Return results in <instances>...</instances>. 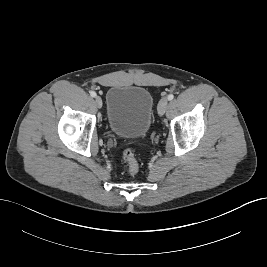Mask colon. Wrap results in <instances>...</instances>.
I'll use <instances>...</instances> for the list:
<instances>
[{
	"label": "colon",
	"instance_id": "obj_1",
	"mask_svg": "<svg viewBox=\"0 0 267 267\" xmlns=\"http://www.w3.org/2000/svg\"><path fill=\"white\" fill-rule=\"evenodd\" d=\"M122 160L129 175H136L139 172V163L131 149H125L123 151Z\"/></svg>",
	"mask_w": 267,
	"mask_h": 267
}]
</instances>
